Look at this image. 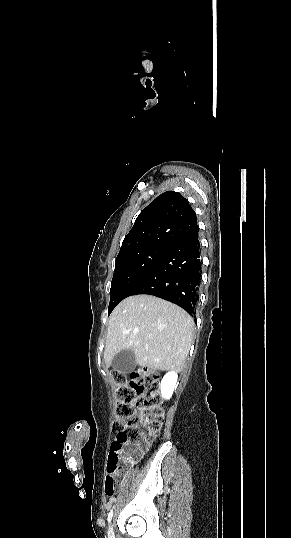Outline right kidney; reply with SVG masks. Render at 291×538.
I'll list each match as a JSON object with an SVG mask.
<instances>
[{"instance_id": "obj_1", "label": "right kidney", "mask_w": 291, "mask_h": 538, "mask_svg": "<svg viewBox=\"0 0 291 538\" xmlns=\"http://www.w3.org/2000/svg\"><path fill=\"white\" fill-rule=\"evenodd\" d=\"M178 375L175 371H169L166 373L160 383V390L162 398L169 400L177 385Z\"/></svg>"}]
</instances>
